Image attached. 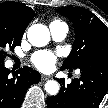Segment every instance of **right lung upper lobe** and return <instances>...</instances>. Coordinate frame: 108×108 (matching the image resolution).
<instances>
[{
    "mask_svg": "<svg viewBox=\"0 0 108 108\" xmlns=\"http://www.w3.org/2000/svg\"><path fill=\"white\" fill-rule=\"evenodd\" d=\"M0 12L12 16L15 22L25 31L35 13L32 8L19 2H5L0 4Z\"/></svg>",
    "mask_w": 108,
    "mask_h": 108,
    "instance_id": "right-lung-upper-lobe-1",
    "label": "right lung upper lobe"
}]
</instances>
